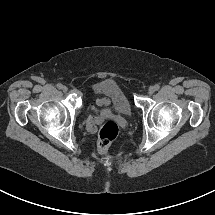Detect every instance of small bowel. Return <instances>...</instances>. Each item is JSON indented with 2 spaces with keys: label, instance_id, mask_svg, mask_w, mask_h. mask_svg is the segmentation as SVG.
<instances>
[{
  "label": "small bowel",
  "instance_id": "small-bowel-1",
  "mask_svg": "<svg viewBox=\"0 0 215 215\" xmlns=\"http://www.w3.org/2000/svg\"><path fill=\"white\" fill-rule=\"evenodd\" d=\"M96 105L98 107H100L98 112L101 115H105L107 113V107L109 106V101L108 100H106L104 98H100V99H98L96 101ZM96 124H97V118L96 117L91 116V117L88 118V127H89L91 132H95Z\"/></svg>",
  "mask_w": 215,
  "mask_h": 215
}]
</instances>
